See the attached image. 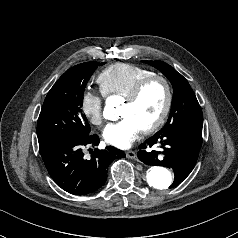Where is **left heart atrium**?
<instances>
[{
	"mask_svg": "<svg viewBox=\"0 0 238 238\" xmlns=\"http://www.w3.org/2000/svg\"><path fill=\"white\" fill-rule=\"evenodd\" d=\"M141 131L138 123L129 116L123 117L115 123L107 125L103 131L104 140L116 147L127 148Z\"/></svg>",
	"mask_w": 238,
	"mask_h": 238,
	"instance_id": "obj_1",
	"label": "left heart atrium"
}]
</instances>
